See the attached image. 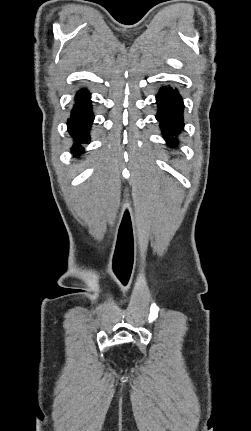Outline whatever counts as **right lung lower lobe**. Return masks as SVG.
Wrapping results in <instances>:
<instances>
[{
    "label": "right lung lower lobe",
    "instance_id": "right-lung-lower-lobe-1",
    "mask_svg": "<svg viewBox=\"0 0 251 431\" xmlns=\"http://www.w3.org/2000/svg\"><path fill=\"white\" fill-rule=\"evenodd\" d=\"M90 98L88 91L79 90L75 96L71 117L67 121L68 132L75 140L72 147L75 156L84 152L82 143H89V131L94 120Z\"/></svg>",
    "mask_w": 251,
    "mask_h": 431
}]
</instances>
